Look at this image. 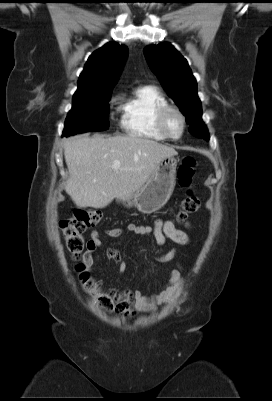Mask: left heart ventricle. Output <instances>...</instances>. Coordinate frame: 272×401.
<instances>
[{
	"label": "left heart ventricle",
	"mask_w": 272,
	"mask_h": 401,
	"mask_svg": "<svg viewBox=\"0 0 272 401\" xmlns=\"http://www.w3.org/2000/svg\"><path fill=\"white\" fill-rule=\"evenodd\" d=\"M167 123H168L169 130L173 135L176 136V135H178L180 133L181 122H180L179 117L176 114L171 113L168 116Z\"/></svg>",
	"instance_id": "1"
}]
</instances>
